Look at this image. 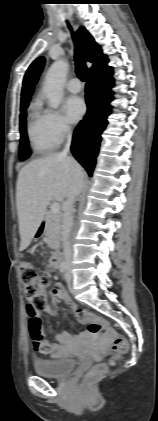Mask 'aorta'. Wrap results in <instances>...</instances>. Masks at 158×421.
Here are the masks:
<instances>
[{"label": "aorta", "instance_id": "762f6f07", "mask_svg": "<svg viewBox=\"0 0 158 421\" xmlns=\"http://www.w3.org/2000/svg\"><path fill=\"white\" fill-rule=\"evenodd\" d=\"M68 71V63L58 60L52 64L46 73L43 92L49 100V106L58 108L63 99V87Z\"/></svg>", "mask_w": 158, "mask_h": 421}]
</instances>
